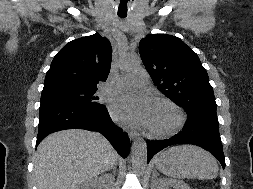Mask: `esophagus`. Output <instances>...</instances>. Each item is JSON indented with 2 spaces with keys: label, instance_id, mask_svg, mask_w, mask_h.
Listing matches in <instances>:
<instances>
[{
  "label": "esophagus",
  "instance_id": "1",
  "mask_svg": "<svg viewBox=\"0 0 253 189\" xmlns=\"http://www.w3.org/2000/svg\"><path fill=\"white\" fill-rule=\"evenodd\" d=\"M128 136L131 140H134L138 137V133L137 132H134V131H129L128 132Z\"/></svg>",
  "mask_w": 253,
  "mask_h": 189
}]
</instances>
